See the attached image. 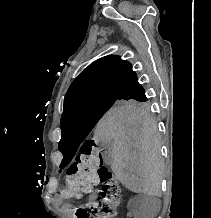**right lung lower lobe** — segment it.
I'll return each instance as SVG.
<instances>
[{
    "mask_svg": "<svg viewBox=\"0 0 211 218\" xmlns=\"http://www.w3.org/2000/svg\"><path fill=\"white\" fill-rule=\"evenodd\" d=\"M122 97L146 98L144 88L139 84L137 76L124 88Z\"/></svg>",
    "mask_w": 211,
    "mask_h": 218,
    "instance_id": "right-lung-lower-lobe-1",
    "label": "right lung lower lobe"
}]
</instances>
